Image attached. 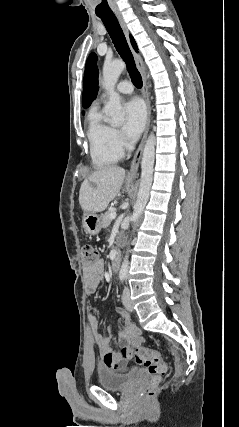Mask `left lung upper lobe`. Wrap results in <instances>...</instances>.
I'll return each mask as SVG.
<instances>
[{
    "label": "left lung upper lobe",
    "mask_w": 239,
    "mask_h": 427,
    "mask_svg": "<svg viewBox=\"0 0 239 427\" xmlns=\"http://www.w3.org/2000/svg\"><path fill=\"white\" fill-rule=\"evenodd\" d=\"M97 56L91 53L87 59L83 83V108H88L97 96L98 92V68L96 65ZM84 114V112H83Z\"/></svg>",
    "instance_id": "1"
}]
</instances>
